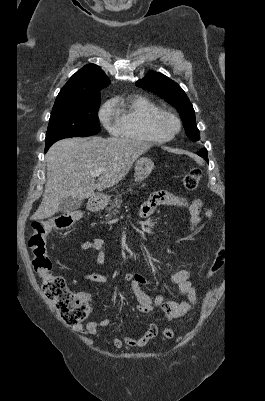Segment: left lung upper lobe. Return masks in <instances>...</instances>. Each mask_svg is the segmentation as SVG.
I'll use <instances>...</instances> for the list:
<instances>
[{
  "mask_svg": "<svg viewBox=\"0 0 265 401\" xmlns=\"http://www.w3.org/2000/svg\"><path fill=\"white\" fill-rule=\"evenodd\" d=\"M136 85L157 94L174 106L181 116L187 136L194 141L200 139L193 106L176 82L161 73L150 72L143 79L138 80Z\"/></svg>",
  "mask_w": 265,
  "mask_h": 401,
  "instance_id": "left-lung-upper-lobe-1",
  "label": "left lung upper lobe"
}]
</instances>
